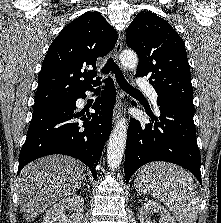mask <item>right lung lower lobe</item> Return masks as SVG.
Here are the masks:
<instances>
[{"mask_svg": "<svg viewBox=\"0 0 221 223\" xmlns=\"http://www.w3.org/2000/svg\"><path fill=\"white\" fill-rule=\"evenodd\" d=\"M85 91L33 112L27 138L19 155L18 174L27 163L37 158L64 154L82 161L96 178L95 168L111 132L116 91L109 77L105 80L104 91L92 106L95 113L84 115L75 110L76 100L86 98Z\"/></svg>", "mask_w": 221, "mask_h": 223, "instance_id": "obj_1", "label": "right lung lower lobe"}]
</instances>
